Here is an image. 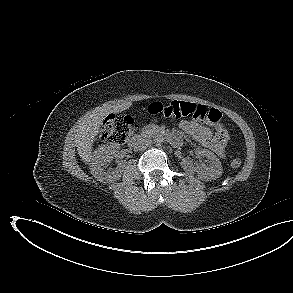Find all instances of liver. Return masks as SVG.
I'll use <instances>...</instances> for the list:
<instances>
[{"label":"liver","instance_id":"1","mask_svg":"<svg viewBox=\"0 0 293 293\" xmlns=\"http://www.w3.org/2000/svg\"><path fill=\"white\" fill-rule=\"evenodd\" d=\"M131 105V102H123L114 106L99 108L94 110L91 114L85 115L79 121L76 127L75 143L78 154L85 163L91 161L93 142L99 133L100 126L105 117L111 113L116 114L127 110Z\"/></svg>","mask_w":293,"mask_h":293}]
</instances>
